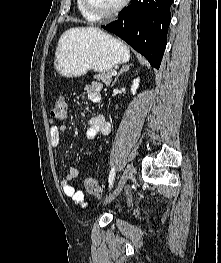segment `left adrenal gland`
I'll return each mask as SVG.
<instances>
[{
	"label": "left adrenal gland",
	"mask_w": 221,
	"mask_h": 263,
	"mask_svg": "<svg viewBox=\"0 0 221 263\" xmlns=\"http://www.w3.org/2000/svg\"><path fill=\"white\" fill-rule=\"evenodd\" d=\"M130 66H132V64H131V65H127V66L122 67V69L119 71L118 75L115 77V79H114V81H113V83H112V86L115 85V83H116L118 77H119L123 72H126V71L129 70Z\"/></svg>",
	"instance_id": "1"
}]
</instances>
